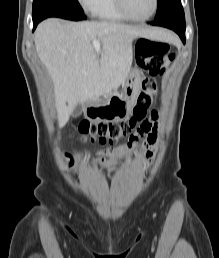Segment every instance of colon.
Instances as JSON below:
<instances>
[{
    "label": "colon",
    "instance_id": "5ec220e1",
    "mask_svg": "<svg viewBox=\"0 0 219 258\" xmlns=\"http://www.w3.org/2000/svg\"><path fill=\"white\" fill-rule=\"evenodd\" d=\"M137 57L140 66L152 78L142 82L141 92L133 109L132 117L127 122L82 121L78 125V131L85 139L102 145H115L120 139L128 136L135 126L146 117L157 93V83L153 77L162 75L175 56L170 52L168 44L143 38L137 43Z\"/></svg>",
    "mask_w": 219,
    "mask_h": 258
}]
</instances>
